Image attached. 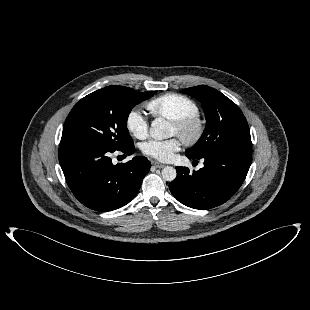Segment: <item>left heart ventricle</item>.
<instances>
[{
	"instance_id": "1",
	"label": "left heart ventricle",
	"mask_w": 310,
	"mask_h": 310,
	"mask_svg": "<svg viewBox=\"0 0 310 310\" xmlns=\"http://www.w3.org/2000/svg\"><path fill=\"white\" fill-rule=\"evenodd\" d=\"M172 133L177 134V128L174 125H172Z\"/></svg>"
}]
</instances>
